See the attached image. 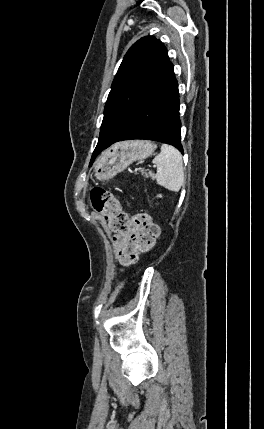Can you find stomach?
Instances as JSON below:
<instances>
[{"label": "stomach", "instance_id": "1", "mask_svg": "<svg viewBox=\"0 0 264 429\" xmlns=\"http://www.w3.org/2000/svg\"><path fill=\"white\" fill-rule=\"evenodd\" d=\"M155 149L156 145L148 140H130L114 144L96 161L95 176L99 180H109L132 162L151 156Z\"/></svg>", "mask_w": 264, "mask_h": 429}]
</instances>
